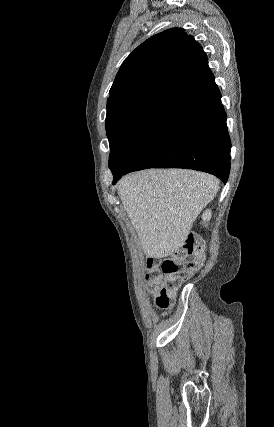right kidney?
Here are the masks:
<instances>
[{
    "label": "right kidney",
    "instance_id": "1",
    "mask_svg": "<svg viewBox=\"0 0 274 427\" xmlns=\"http://www.w3.org/2000/svg\"><path fill=\"white\" fill-rule=\"evenodd\" d=\"M211 215V210H205L204 214L202 215L203 223H205V221H209Z\"/></svg>",
    "mask_w": 274,
    "mask_h": 427
}]
</instances>
